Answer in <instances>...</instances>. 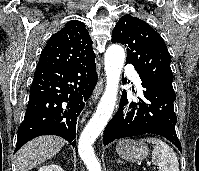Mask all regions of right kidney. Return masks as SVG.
<instances>
[{
  "instance_id": "obj_1",
  "label": "right kidney",
  "mask_w": 199,
  "mask_h": 171,
  "mask_svg": "<svg viewBox=\"0 0 199 171\" xmlns=\"http://www.w3.org/2000/svg\"><path fill=\"white\" fill-rule=\"evenodd\" d=\"M38 171H64V170L61 168V166H58L57 164H49L40 167Z\"/></svg>"
}]
</instances>
